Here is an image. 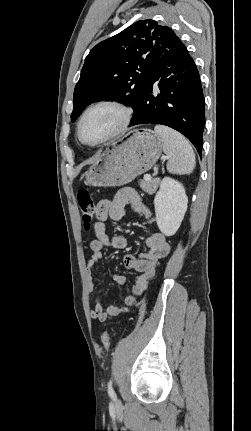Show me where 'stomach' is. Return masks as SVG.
Here are the masks:
<instances>
[{
	"label": "stomach",
	"mask_w": 251,
	"mask_h": 431,
	"mask_svg": "<svg viewBox=\"0 0 251 431\" xmlns=\"http://www.w3.org/2000/svg\"><path fill=\"white\" fill-rule=\"evenodd\" d=\"M163 142L150 129H137L109 145L84 173L91 186H122L149 171L159 159Z\"/></svg>",
	"instance_id": "0dacf381"
}]
</instances>
